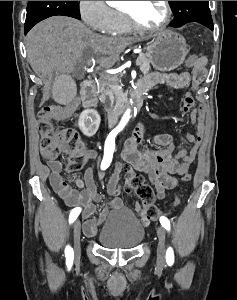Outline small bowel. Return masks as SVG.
<instances>
[{
	"label": "small bowel",
	"instance_id": "1",
	"mask_svg": "<svg viewBox=\"0 0 237 300\" xmlns=\"http://www.w3.org/2000/svg\"><path fill=\"white\" fill-rule=\"evenodd\" d=\"M207 76L206 59L194 66L193 72L183 73H150L142 78L136 89L145 91L159 84H164L173 88H182L190 85L192 90L205 80ZM80 102L75 98L63 106L51 107V119L64 120L70 117L78 108ZM185 114H190L191 123L196 126V134L189 133L185 136V143L192 144L193 148L188 151L185 145L177 154L174 153V139L169 134H160L153 138L152 144L156 148H149L145 145L144 135L145 126L138 124L132 136L125 143L124 159L128 164L127 168L148 173L150 181L154 184L156 195L159 199L165 197V191L176 186L175 175H183L188 172L194 161L198 147L200 146L205 128L206 118L202 106L194 107V98L190 92H187L182 106ZM64 154L69 157L75 153L65 149ZM88 158L98 160L99 155L95 150H85ZM50 169L49 182L54 191L63 199L65 204L72 208H80L82 216L85 219L84 231L92 236L101 223L105 220L110 210H120L123 208V200L120 197L119 174L123 169L121 163L116 165L115 172L110 177L107 185V191L111 199L107 205L97 214L96 204L101 201V195L97 191L95 182V170L88 167L85 170L83 178L67 180L62 176L63 164L58 160L48 162ZM99 179H102L104 172H99ZM177 202L175 203V205ZM135 210L141 216L144 225L150 223L146 217L143 207L135 205Z\"/></svg>",
	"mask_w": 237,
	"mask_h": 300
}]
</instances>
